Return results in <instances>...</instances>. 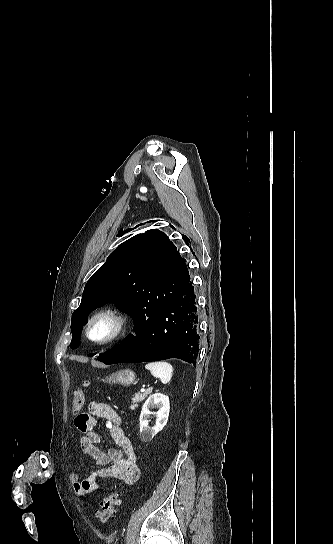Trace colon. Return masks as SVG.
<instances>
[{
	"instance_id": "colon-1",
	"label": "colon",
	"mask_w": 333,
	"mask_h": 544,
	"mask_svg": "<svg viewBox=\"0 0 333 544\" xmlns=\"http://www.w3.org/2000/svg\"><path fill=\"white\" fill-rule=\"evenodd\" d=\"M89 387L88 381H83L82 388L79 389L73 399L72 403V412L74 415H78L79 412L82 410L85 402V394ZM119 503V492L113 491L111 492L102 502L100 505V509L96 513V517L102 524H107L111 519L114 518L115 515V507Z\"/></svg>"
}]
</instances>
